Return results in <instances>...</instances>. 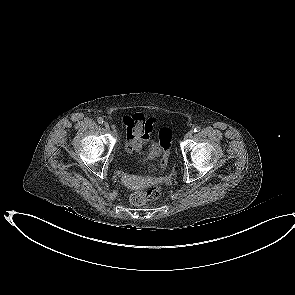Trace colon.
<instances>
[{"instance_id":"5ec220e1","label":"colon","mask_w":295,"mask_h":295,"mask_svg":"<svg viewBox=\"0 0 295 295\" xmlns=\"http://www.w3.org/2000/svg\"><path fill=\"white\" fill-rule=\"evenodd\" d=\"M171 128L165 127L159 132V141L162 149V158L160 161L161 170H165L168 165L169 150L172 140ZM161 194L160 187L154 186L150 190H137L131 195V202L136 206H142L150 200L157 199Z\"/></svg>"}]
</instances>
